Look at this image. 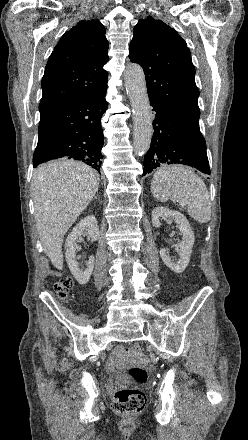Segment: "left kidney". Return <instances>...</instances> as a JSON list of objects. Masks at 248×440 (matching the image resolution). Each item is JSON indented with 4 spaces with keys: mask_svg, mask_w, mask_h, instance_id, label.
Masks as SVG:
<instances>
[{
    "mask_svg": "<svg viewBox=\"0 0 248 440\" xmlns=\"http://www.w3.org/2000/svg\"><path fill=\"white\" fill-rule=\"evenodd\" d=\"M172 218L180 229L182 241L179 244V258H171L165 248L160 250V256L164 264L176 273H181L185 270L190 261L192 247L194 244V233L186 217L178 212L165 207H156L152 211V225L159 228L161 226L160 220Z\"/></svg>",
    "mask_w": 248,
    "mask_h": 440,
    "instance_id": "left-kidney-1",
    "label": "left kidney"
}]
</instances>
